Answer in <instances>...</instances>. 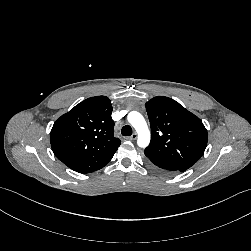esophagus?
Masks as SVG:
<instances>
[{
  "label": "esophagus",
  "instance_id": "1",
  "mask_svg": "<svg viewBox=\"0 0 251 251\" xmlns=\"http://www.w3.org/2000/svg\"><path fill=\"white\" fill-rule=\"evenodd\" d=\"M136 138H137V134L133 133L128 139L133 141V140H136Z\"/></svg>",
  "mask_w": 251,
  "mask_h": 251
}]
</instances>
